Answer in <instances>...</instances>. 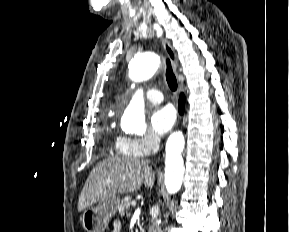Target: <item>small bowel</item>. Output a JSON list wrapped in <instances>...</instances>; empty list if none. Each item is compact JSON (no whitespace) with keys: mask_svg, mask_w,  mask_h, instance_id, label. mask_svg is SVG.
<instances>
[{"mask_svg":"<svg viewBox=\"0 0 289 232\" xmlns=\"http://www.w3.org/2000/svg\"><path fill=\"white\" fill-rule=\"evenodd\" d=\"M112 232H121V223L119 221L114 223Z\"/></svg>","mask_w":289,"mask_h":232,"instance_id":"obj_1","label":"small bowel"}]
</instances>
